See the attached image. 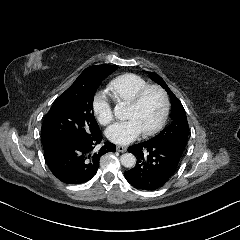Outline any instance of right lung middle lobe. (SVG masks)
<instances>
[{"instance_id": "dd1d6c3e", "label": "right lung middle lobe", "mask_w": 240, "mask_h": 240, "mask_svg": "<svg viewBox=\"0 0 240 240\" xmlns=\"http://www.w3.org/2000/svg\"><path fill=\"white\" fill-rule=\"evenodd\" d=\"M117 69L86 68L54 102L41 128L42 143L55 138H85L101 131L93 113V99L101 82Z\"/></svg>"}]
</instances>
